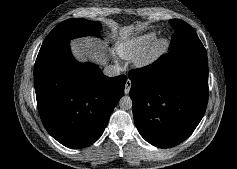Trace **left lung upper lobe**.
Listing matches in <instances>:
<instances>
[{
  "label": "left lung upper lobe",
  "mask_w": 237,
  "mask_h": 169,
  "mask_svg": "<svg viewBox=\"0 0 237 169\" xmlns=\"http://www.w3.org/2000/svg\"><path fill=\"white\" fill-rule=\"evenodd\" d=\"M169 23L175 28V33L166 59L171 60L189 54H206L203 44L189 24L180 19L170 20Z\"/></svg>",
  "instance_id": "1"
}]
</instances>
